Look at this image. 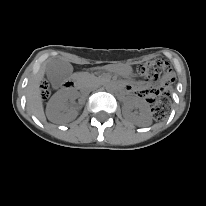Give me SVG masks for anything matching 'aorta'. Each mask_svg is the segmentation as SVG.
I'll list each match as a JSON object with an SVG mask.
<instances>
[{"label":"aorta","instance_id":"aorta-1","mask_svg":"<svg viewBox=\"0 0 206 206\" xmlns=\"http://www.w3.org/2000/svg\"><path fill=\"white\" fill-rule=\"evenodd\" d=\"M106 91L108 92H114L115 91V85L113 83H108L105 86Z\"/></svg>","mask_w":206,"mask_h":206}]
</instances>
